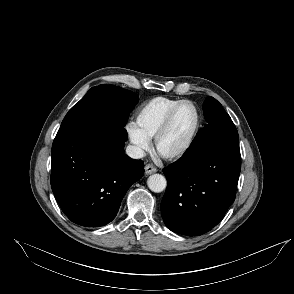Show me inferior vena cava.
Wrapping results in <instances>:
<instances>
[{"label":"inferior vena cava","mask_w":294,"mask_h":294,"mask_svg":"<svg viewBox=\"0 0 294 294\" xmlns=\"http://www.w3.org/2000/svg\"><path fill=\"white\" fill-rule=\"evenodd\" d=\"M126 154L133 159H140L144 157V151L141 148L133 145L127 146Z\"/></svg>","instance_id":"obj_1"}]
</instances>
